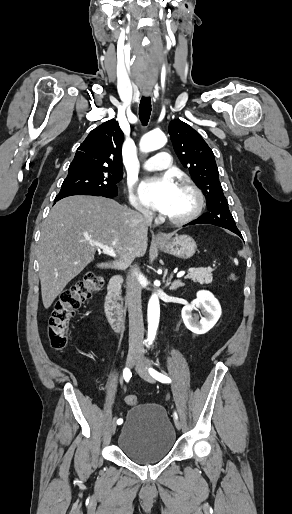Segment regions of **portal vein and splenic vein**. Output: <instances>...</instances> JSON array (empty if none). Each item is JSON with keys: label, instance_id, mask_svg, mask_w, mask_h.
<instances>
[{"label": "portal vein and splenic vein", "instance_id": "18ae733b", "mask_svg": "<svg viewBox=\"0 0 292 514\" xmlns=\"http://www.w3.org/2000/svg\"><path fill=\"white\" fill-rule=\"evenodd\" d=\"M96 246L103 250V254H108V256H113V258H117L114 252V248H109V246H103V244H96ZM184 274L185 272H179V274H177V278H181V276H184Z\"/></svg>", "mask_w": 292, "mask_h": 514}]
</instances>
